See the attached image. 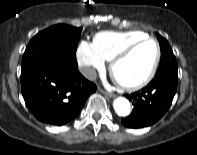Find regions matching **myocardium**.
Listing matches in <instances>:
<instances>
[{"label":"myocardium","instance_id":"myocardium-1","mask_svg":"<svg viewBox=\"0 0 197 155\" xmlns=\"http://www.w3.org/2000/svg\"><path fill=\"white\" fill-rule=\"evenodd\" d=\"M146 42H152L156 46V56H155L154 62L152 64L149 72L147 73V75L139 82L132 83V84H127V83H123V82L118 81L115 77V74H114L116 65L121 60H123L128 55H130V53L134 49H136L138 46H140L141 44L146 43ZM160 59H161V48H160L158 41L152 37H145V38H142L140 40H137V41L125 46L119 52H117L114 55V57L111 59L109 71H110L111 77L113 78V80L116 82V84L121 89H123L125 91H130V92L137 91V90L144 88L146 85H148L150 83V81L154 78L156 71L158 69L159 63H160Z\"/></svg>","mask_w":197,"mask_h":155}]
</instances>
